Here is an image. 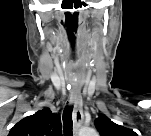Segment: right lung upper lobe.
Returning a JSON list of instances; mask_svg holds the SVG:
<instances>
[{
  "label": "right lung upper lobe",
  "mask_w": 151,
  "mask_h": 136,
  "mask_svg": "<svg viewBox=\"0 0 151 136\" xmlns=\"http://www.w3.org/2000/svg\"><path fill=\"white\" fill-rule=\"evenodd\" d=\"M61 119L49 108L37 111L35 114L20 120L11 130V136H60Z\"/></svg>",
  "instance_id": "cb5924a9"
}]
</instances>
